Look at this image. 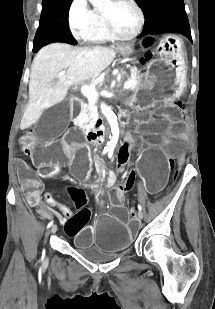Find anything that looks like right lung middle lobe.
<instances>
[{
  "label": "right lung middle lobe",
  "mask_w": 215,
  "mask_h": 309,
  "mask_svg": "<svg viewBox=\"0 0 215 309\" xmlns=\"http://www.w3.org/2000/svg\"><path fill=\"white\" fill-rule=\"evenodd\" d=\"M73 0H42L41 20L34 38L33 51L37 52L51 42L77 44L68 24L69 8Z\"/></svg>",
  "instance_id": "obj_1"
}]
</instances>
